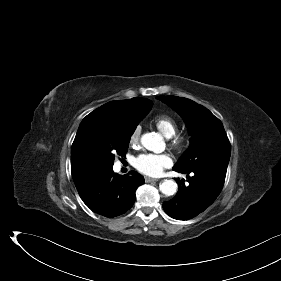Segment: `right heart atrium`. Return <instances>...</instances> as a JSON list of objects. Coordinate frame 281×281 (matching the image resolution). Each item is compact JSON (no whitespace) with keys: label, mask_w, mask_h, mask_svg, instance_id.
Returning a JSON list of instances; mask_svg holds the SVG:
<instances>
[{"label":"right heart atrium","mask_w":281,"mask_h":281,"mask_svg":"<svg viewBox=\"0 0 281 281\" xmlns=\"http://www.w3.org/2000/svg\"><path fill=\"white\" fill-rule=\"evenodd\" d=\"M140 134H141V126L140 125H137L131 135H130V138H129V143L130 145L134 146V145H137L138 142H139V139H140Z\"/></svg>","instance_id":"obj_1"}]
</instances>
